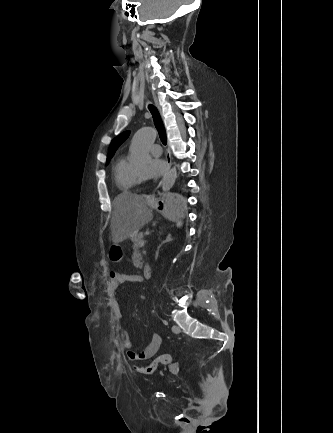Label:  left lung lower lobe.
<instances>
[{"instance_id": "0a47b994", "label": "left lung lower lobe", "mask_w": 333, "mask_h": 433, "mask_svg": "<svg viewBox=\"0 0 333 433\" xmlns=\"http://www.w3.org/2000/svg\"><path fill=\"white\" fill-rule=\"evenodd\" d=\"M165 210L169 213H175L176 211L181 210V207L177 204L176 199L173 197L166 201Z\"/></svg>"}]
</instances>
